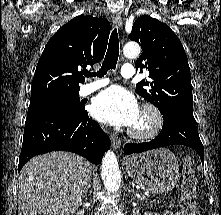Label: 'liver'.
<instances>
[{
    "mask_svg": "<svg viewBox=\"0 0 221 215\" xmlns=\"http://www.w3.org/2000/svg\"><path fill=\"white\" fill-rule=\"evenodd\" d=\"M92 165L70 152L30 159L19 176L18 215H72L91 180Z\"/></svg>",
    "mask_w": 221,
    "mask_h": 215,
    "instance_id": "6515ba94",
    "label": "liver"
}]
</instances>
